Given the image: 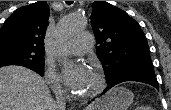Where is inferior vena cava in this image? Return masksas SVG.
I'll use <instances>...</instances> for the list:
<instances>
[{
	"label": "inferior vena cava",
	"instance_id": "1",
	"mask_svg": "<svg viewBox=\"0 0 171 110\" xmlns=\"http://www.w3.org/2000/svg\"><path fill=\"white\" fill-rule=\"evenodd\" d=\"M54 93L56 95V107L58 110H65L66 104L65 99L63 97V92L59 84H56L53 87Z\"/></svg>",
	"mask_w": 171,
	"mask_h": 110
}]
</instances>
